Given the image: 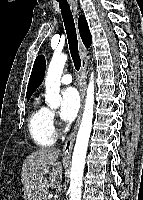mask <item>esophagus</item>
I'll list each match as a JSON object with an SVG mask.
<instances>
[{"label":"esophagus","instance_id":"34e87169","mask_svg":"<svg viewBox=\"0 0 143 200\" xmlns=\"http://www.w3.org/2000/svg\"><path fill=\"white\" fill-rule=\"evenodd\" d=\"M74 12L79 15V9L76 4L72 5ZM79 52H80V59H81V72H80V85H79V92L81 97V107L79 111L78 118L76 120V123L69 134L65 145L63 147L62 157L64 160H69L73 148V144L76 138V134L80 125L81 117H82V111L84 107V100H85V89H86V68H87V62H86V54L87 50L85 46L83 45L81 39L79 38Z\"/></svg>","mask_w":143,"mask_h":200}]
</instances>
